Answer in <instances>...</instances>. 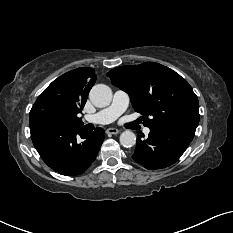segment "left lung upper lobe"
Here are the masks:
<instances>
[{
    "label": "left lung upper lobe",
    "instance_id": "1",
    "mask_svg": "<svg viewBox=\"0 0 233 233\" xmlns=\"http://www.w3.org/2000/svg\"><path fill=\"white\" fill-rule=\"evenodd\" d=\"M107 76L129 94L133 108L143 115V124L149 129L177 128L195 133L200 119L198 98L175 71L145 62L114 68Z\"/></svg>",
    "mask_w": 233,
    "mask_h": 233
}]
</instances>
